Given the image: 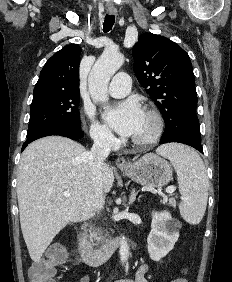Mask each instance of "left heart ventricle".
<instances>
[{
  "instance_id": "obj_1",
  "label": "left heart ventricle",
  "mask_w": 232,
  "mask_h": 282,
  "mask_svg": "<svg viewBox=\"0 0 232 282\" xmlns=\"http://www.w3.org/2000/svg\"><path fill=\"white\" fill-rule=\"evenodd\" d=\"M153 130V122L152 120L147 116L146 113H144V117L142 120V123L137 130V132L132 136L133 138H143L146 137L151 133Z\"/></svg>"
}]
</instances>
